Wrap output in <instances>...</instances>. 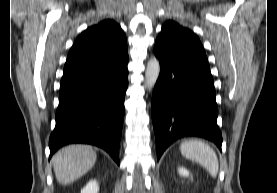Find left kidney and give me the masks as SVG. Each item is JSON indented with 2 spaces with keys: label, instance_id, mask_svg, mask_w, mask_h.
<instances>
[{
  "label": "left kidney",
  "instance_id": "left-kidney-1",
  "mask_svg": "<svg viewBox=\"0 0 277 193\" xmlns=\"http://www.w3.org/2000/svg\"><path fill=\"white\" fill-rule=\"evenodd\" d=\"M178 173H179L180 176H183V177H188L189 176V171L184 167H179L178 168Z\"/></svg>",
  "mask_w": 277,
  "mask_h": 193
}]
</instances>
